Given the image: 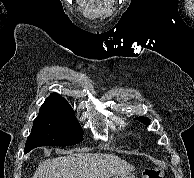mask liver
<instances>
[{"label": "liver", "mask_w": 194, "mask_h": 178, "mask_svg": "<svg viewBox=\"0 0 194 178\" xmlns=\"http://www.w3.org/2000/svg\"><path fill=\"white\" fill-rule=\"evenodd\" d=\"M133 170L113 154L76 153L41 162L32 178H110Z\"/></svg>", "instance_id": "1"}]
</instances>
